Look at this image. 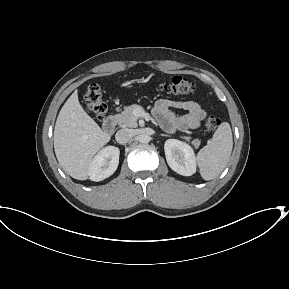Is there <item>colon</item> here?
<instances>
[{
	"instance_id": "1",
	"label": "colon",
	"mask_w": 289,
	"mask_h": 289,
	"mask_svg": "<svg viewBox=\"0 0 289 289\" xmlns=\"http://www.w3.org/2000/svg\"><path fill=\"white\" fill-rule=\"evenodd\" d=\"M158 89L167 94L188 95L194 92L195 84L186 76L176 75L168 81L160 83ZM84 99L88 109L93 112L97 118H103L107 106L102 99L101 88L97 83L89 84L84 94ZM219 125L220 120L217 117L209 115L205 118L204 128L206 131L213 132Z\"/></svg>"
}]
</instances>
